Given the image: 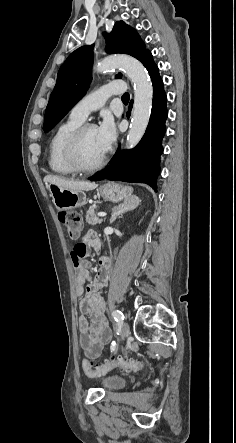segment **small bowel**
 <instances>
[{"instance_id": "small-bowel-1", "label": "small bowel", "mask_w": 236, "mask_h": 443, "mask_svg": "<svg viewBox=\"0 0 236 443\" xmlns=\"http://www.w3.org/2000/svg\"><path fill=\"white\" fill-rule=\"evenodd\" d=\"M76 246H84L86 254L87 247L99 250L101 242L95 232L88 231L74 245ZM72 262L75 263L73 258ZM100 263V269L91 277L86 262L83 258L80 259L76 267L75 280V291L79 298L81 313L77 320L79 343L93 359L101 354L104 345L111 339V331L105 317L106 304L104 297L100 294V290L107 284L110 277V261L101 258Z\"/></svg>"}]
</instances>
